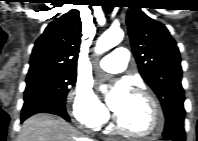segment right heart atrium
Here are the masks:
<instances>
[{
  "instance_id": "right-heart-atrium-1",
  "label": "right heart atrium",
  "mask_w": 198,
  "mask_h": 141,
  "mask_svg": "<svg viewBox=\"0 0 198 141\" xmlns=\"http://www.w3.org/2000/svg\"><path fill=\"white\" fill-rule=\"evenodd\" d=\"M68 100L74 120L81 125L96 129L109 119L107 109L96 97L90 85L85 82L77 84Z\"/></svg>"
}]
</instances>
